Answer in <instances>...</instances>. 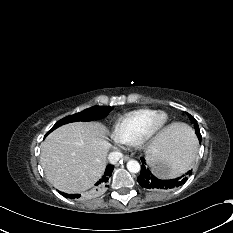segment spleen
Segmentation results:
<instances>
[{"label":"spleen","instance_id":"spleen-1","mask_svg":"<svg viewBox=\"0 0 233 233\" xmlns=\"http://www.w3.org/2000/svg\"><path fill=\"white\" fill-rule=\"evenodd\" d=\"M197 151V140L189 127L186 126L183 133V139L180 145L175 149V156L172 160L173 176L183 169L190 168L195 162V153ZM182 169V170H178ZM172 176V177H173Z\"/></svg>","mask_w":233,"mask_h":233}]
</instances>
